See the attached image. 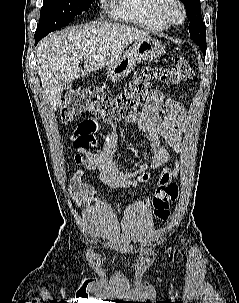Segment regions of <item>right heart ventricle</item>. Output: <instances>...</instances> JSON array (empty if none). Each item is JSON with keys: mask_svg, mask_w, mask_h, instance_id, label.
Listing matches in <instances>:
<instances>
[{"mask_svg": "<svg viewBox=\"0 0 239 303\" xmlns=\"http://www.w3.org/2000/svg\"><path fill=\"white\" fill-rule=\"evenodd\" d=\"M160 0H111V14L152 31H163L167 25L157 14Z\"/></svg>", "mask_w": 239, "mask_h": 303, "instance_id": "obj_1", "label": "right heart ventricle"}]
</instances>
